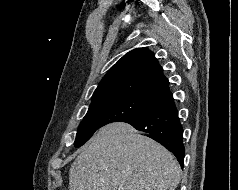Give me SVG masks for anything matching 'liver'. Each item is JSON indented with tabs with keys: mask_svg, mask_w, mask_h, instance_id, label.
I'll return each instance as SVG.
<instances>
[{
	"mask_svg": "<svg viewBox=\"0 0 238 190\" xmlns=\"http://www.w3.org/2000/svg\"><path fill=\"white\" fill-rule=\"evenodd\" d=\"M181 168L162 145L131 125L100 128L69 171V190H175Z\"/></svg>",
	"mask_w": 238,
	"mask_h": 190,
	"instance_id": "obj_1",
	"label": "liver"
}]
</instances>
